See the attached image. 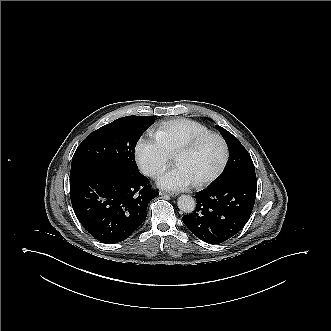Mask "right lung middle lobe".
I'll use <instances>...</instances> for the list:
<instances>
[{
    "label": "right lung middle lobe",
    "instance_id": "right-lung-middle-lobe-1",
    "mask_svg": "<svg viewBox=\"0 0 331 331\" xmlns=\"http://www.w3.org/2000/svg\"><path fill=\"white\" fill-rule=\"evenodd\" d=\"M153 122V116H127L92 132L75 151L70 174L85 167H109L127 177L139 175L135 146Z\"/></svg>",
    "mask_w": 331,
    "mask_h": 331
}]
</instances>
